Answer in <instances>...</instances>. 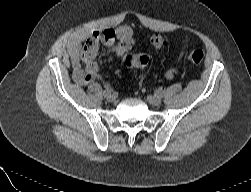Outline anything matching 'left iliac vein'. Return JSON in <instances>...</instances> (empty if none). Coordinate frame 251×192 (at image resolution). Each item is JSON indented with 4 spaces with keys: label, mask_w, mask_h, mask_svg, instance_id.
Returning a JSON list of instances; mask_svg holds the SVG:
<instances>
[{
    "label": "left iliac vein",
    "mask_w": 251,
    "mask_h": 192,
    "mask_svg": "<svg viewBox=\"0 0 251 192\" xmlns=\"http://www.w3.org/2000/svg\"><path fill=\"white\" fill-rule=\"evenodd\" d=\"M147 100L153 106H158L162 102L161 98L159 96H157V95H149L147 97Z\"/></svg>",
    "instance_id": "left-iliac-vein-1"
}]
</instances>
